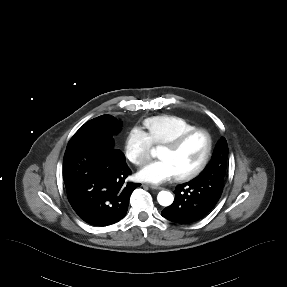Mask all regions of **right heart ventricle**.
<instances>
[{
	"instance_id": "obj_1",
	"label": "right heart ventricle",
	"mask_w": 287,
	"mask_h": 287,
	"mask_svg": "<svg viewBox=\"0 0 287 287\" xmlns=\"http://www.w3.org/2000/svg\"><path fill=\"white\" fill-rule=\"evenodd\" d=\"M143 125L146 128V135L155 145H165L196 128L187 118L170 114L147 118L143 121Z\"/></svg>"
}]
</instances>
